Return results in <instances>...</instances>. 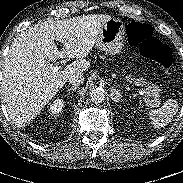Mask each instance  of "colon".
Listing matches in <instances>:
<instances>
[{"mask_svg": "<svg viewBox=\"0 0 183 183\" xmlns=\"http://www.w3.org/2000/svg\"><path fill=\"white\" fill-rule=\"evenodd\" d=\"M152 33L151 26L144 23L132 22L126 27L128 43L137 46L143 57L160 65L164 73L169 75L172 65L170 48Z\"/></svg>", "mask_w": 183, "mask_h": 183, "instance_id": "colon-1", "label": "colon"}]
</instances>
